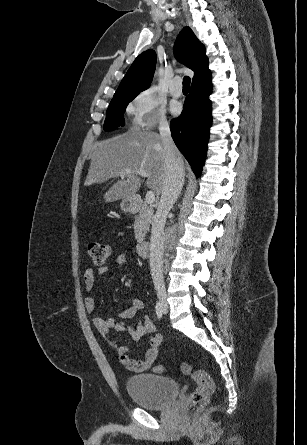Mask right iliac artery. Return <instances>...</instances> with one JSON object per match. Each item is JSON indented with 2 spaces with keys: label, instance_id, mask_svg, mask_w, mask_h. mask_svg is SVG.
Returning a JSON list of instances; mask_svg holds the SVG:
<instances>
[{
  "label": "right iliac artery",
  "instance_id": "right-iliac-artery-1",
  "mask_svg": "<svg viewBox=\"0 0 307 445\" xmlns=\"http://www.w3.org/2000/svg\"><path fill=\"white\" fill-rule=\"evenodd\" d=\"M155 311H156V315H157V317H158L159 319L162 318V315H163V306H162V303H161L160 301H158V302L156 303Z\"/></svg>",
  "mask_w": 307,
  "mask_h": 445
}]
</instances>
